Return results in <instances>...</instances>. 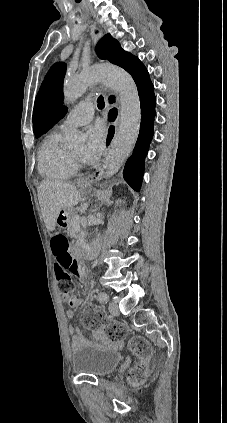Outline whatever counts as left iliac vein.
<instances>
[{"mask_svg": "<svg viewBox=\"0 0 227 423\" xmlns=\"http://www.w3.org/2000/svg\"><path fill=\"white\" fill-rule=\"evenodd\" d=\"M110 313L114 316H118L119 315V308L117 305H115L114 303H109V307H108Z\"/></svg>", "mask_w": 227, "mask_h": 423, "instance_id": "4c4485c4", "label": "left iliac vein"}]
</instances>
